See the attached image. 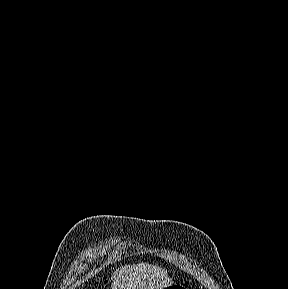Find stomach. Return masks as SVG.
<instances>
[{
  "instance_id": "0dacf381",
  "label": "stomach",
  "mask_w": 288,
  "mask_h": 289,
  "mask_svg": "<svg viewBox=\"0 0 288 289\" xmlns=\"http://www.w3.org/2000/svg\"><path fill=\"white\" fill-rule=\"evenodd\" d=\"M166 289H184V287L181 285L172 284L170 286H167Z\"/></svg>"
}]
</instances>
